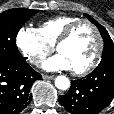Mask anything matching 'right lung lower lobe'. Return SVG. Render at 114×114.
Instances as JSON below:
<instances>
[{
    "label": "right lung lower lobe",
    "instance_id": "1",
    "mask_svg": "<svg viewBox=\"0 0 114 114\" xmlns=\"http://www.w3.org/2000/svg\"><path fill=\"white\" fill-rule=\"evenodd\" d=\"M41 75L25 61L0 60V114H19L31 101L30 87Z\"/></svg>",
    "mask_w": 114,
    "mask_h": 114
}]
</instances>
